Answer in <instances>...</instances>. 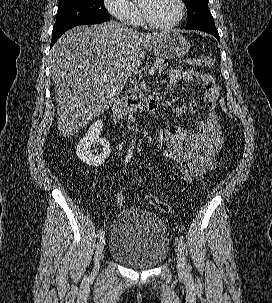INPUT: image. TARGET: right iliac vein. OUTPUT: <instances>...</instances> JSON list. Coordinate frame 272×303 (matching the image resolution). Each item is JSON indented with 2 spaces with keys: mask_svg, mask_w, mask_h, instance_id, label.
I'll use <instances>...</instances> for the list:
<instances>
[{
  "mask_svg": "<svg viewBox=\"0 0 272 303\" xmlns=\"http://www.w3.org/2000/svg\"><path fill=\"white\" fill-rule=\"evenodd\" d=\"M104 246H105V236L102 235L97 242L96 245V250H95V257H94V267H93V272H92V276H96L98 269H99V265H100V260L102 258V254H103V250H104Z\"/></svg>",
  "mask_w": 272,
  "mask_h": 303,
  "instance_id": "right-iliac-vein-1",
  "label": "right iliac vein"
}]
</instances>
